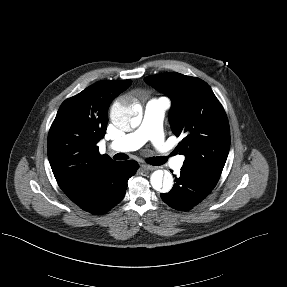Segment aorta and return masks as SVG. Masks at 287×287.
<instances>
[{
	"instance_id": "762f6f07",
	"label": "aorta",
	"mask_w": 287,
	"mask_h": 287,
	"mask_svg": "<svg viewBox=\"0 0 287 287\" xmlns=\"http://www.w3.org/2000/svg\"><path fill=\"white\" fill-rule=\"evenodd\" d=\"M110 117L119 129L136 128L141 123V108L135 101L121 99L112 105ZM150 183L156 191L169 192L173 187V177L170 173L156 170L150 177Z\"/></svg>"
}]
</instances>
